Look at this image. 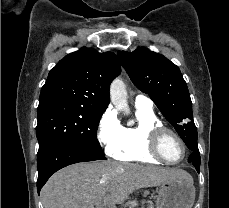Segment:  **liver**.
Returning <instances> with one entry per match:
<instances>
[{
    "instance_id": "1",
    "label": "liver",
    "mask_w": 229,
    "mask_h": 208,
    "mask_svg": "<svg viewBox=\"0 0 229 208\" xmlns=\"http://www.w3.org/2000/svg\"><path fill=\"white\" fill-rule=\"evenodd\" d=\"M169 180L193 178L177 168L97 160L73 164L56 172L40 196L44 208H106L110 202L122 204L134 190L161 186Z\"/></svg>"
}]
</instances>
